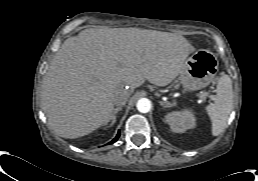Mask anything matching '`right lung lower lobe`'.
<instances>
[{"instance_id": "right-lung-lower-lobe-1", "label": "right lung lower lobe", "mask_w": 258, "mask_h": 181, "mask_svg": "<svg viewBox=\"0 0 258 181\" xmlns=\"http://www.w3.org/2000/svg\"><path fill=\"white\" fill-rule=\"evenodd\" d=\"M119 136H120V133H118V135L110 143H114L118 139Z\"/></svg>"}]
</instances>
